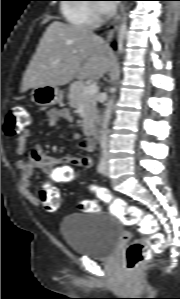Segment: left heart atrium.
I'll list each match as a JSON object with an SVG mask.
<instances>
[{
	"label": "left heart atrium",
	"instance_id": "1",
	"mask_svg": "<svg viewBox=\"0 0 180 299\" xmlns=\"http://www.w3.org/2000/svg\"><path fill=\"white\" fill-rule=\"evenodd\" d=\"M111 2V1H110ZM116 5L114 3H103L100 6V10L103 13H111L114 11Z\"/></svg>",
	"mask_w": 180,
	"mask_h": 299
}]
</instances>
